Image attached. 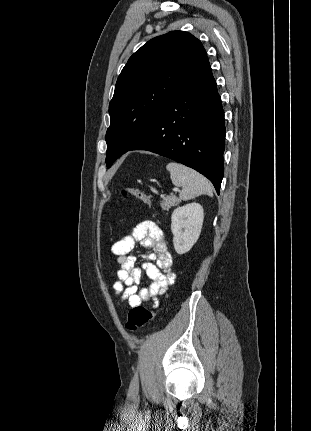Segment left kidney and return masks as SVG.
Instances as JSON below:
<instances>
[{"label": "left kidney", "instance_id": "5707ae66", "mask_svg": "<svg viewBox=\"0 0 311 431\" xmlns=\"http://www.w3.org/2000/svg\"><path fill=\"white\" fill-rule=\"evenodd\" d=\"M204 219V210L200 204H186L176 208L171 216L173 245L177 253H186L196 243Z\"/></svg>", "mask_w": 311, "mask_h": 431}]
</instances>
